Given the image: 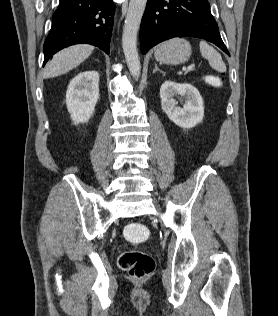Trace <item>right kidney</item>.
<instances>
[{
	"label": "right kidney",
	"instance_id": "1",
	"mask_svg": "<svg viewBox=\"0 0 278 316\" xmlns=\"http://www.w3.org/2000/svg\"><path fill=\"white\" fill-rule=\"evenodd\" d=\"M99 99V73L94 70L77 74L69 83L66 105L74 124L87 123Z\"/></svg>",
	"mask_w": 278,
	"mask_h": 316
}]
</instances>
